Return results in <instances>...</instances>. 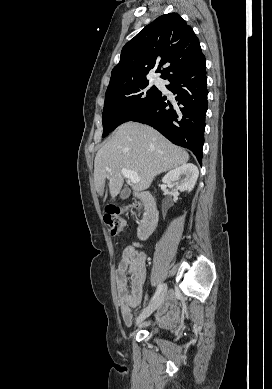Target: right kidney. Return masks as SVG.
<instances>
[{
    "label": "right kidney",
    "mask_w": 272,
    "mask_h": 389,
    "mask_svg": "<svg viewBox=\"0 0 272 389\" xmlns=\"http://www.w3.org/2000/svg\"><path fill=\"white\" fill-rule=\"evenodd\" d=\"M198 175V168L194 164H183L167 173L163 183H174L180 192H190L196 184ZM181 176L185 177L179 182Z\"/></svg>",
    "instance_id": "1"
}]
</instances>
